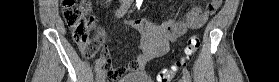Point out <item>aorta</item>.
Here are the masks:
<instances>
[{"instance_id":"aorta-1","label":"aorta","mask_w":279,"mask_h":82,"mask_svg":"<svg viewBox=\"0 0 279 82\" xmlns=\"http://www.w3.org/2000/svg\"><path fill=\"white\" fill-rule=\"evenodd\" d=\"M137 2H138V4H141L142 1L141 0H137Z\"/></svg>"}]
</instances>
